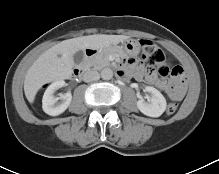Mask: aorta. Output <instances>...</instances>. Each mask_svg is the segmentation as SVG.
I'll list each match as a JSON object with an SVG mask.
<instances>
[{
	"label": "aorta",
	"instance_id": "obj_1",
	"mask_svg": "<svg viewBox=\"0 0 219 174\" xmlns=\"http://www.w3.org/2000/svg\"><path fill=\"white\" fill-rule=\"evenodd\" d=\"M113 77V71L110 68H104L101 71V78L103 80H110Z\"/></svg>",
	"mask_w": 219,
	"mask_h": 174
}]
</instances>
